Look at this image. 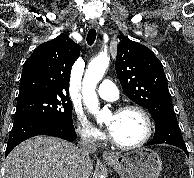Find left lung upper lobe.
<instances>
[{"label": "left lung upper lobe", "instance_id": "obj_1", "mask_svg": "<svg viewBox=\"0 0 194 178\" xmlns=\"http://www.w3.org/2000/svg\"><path fill=\"white\" fill-rule=\"evenodd\" d=\"M115 68L124 93L147 108L155 121L176 116L163 65L148 47L124 37L118 45Z\"/></svg>", "mask_w": 194, "mask_h": 178}]
</instances>
